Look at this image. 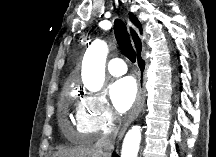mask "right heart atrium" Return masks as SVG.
I'll return each mask as SVG.
<instances>
[{
    "label": "right heart atrium",
    "instance_id": "d8ad5b80",
    "mask_svg": "<svg viewBox=\"0 0 216 157\" xmlns=\"http://www.w3.org/2000/svg\"><path fill=\"white\" fill-rule=\"evenodd\" d=\"M118 116L110 107L105 96L84 93L77 105L75 129L87 136H99L116 129Z\"/></svg>",
    "mask_w": 216,
    "mask_h": 157
}]
</instances>
